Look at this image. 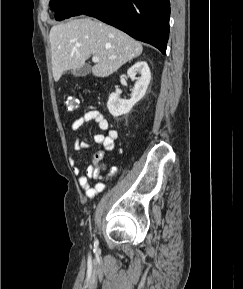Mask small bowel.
<instances>
[{
	"mask_svg": "<svg viewBox=\"0 0 243 289\" xmlns=\"http://www.w3.org/2000/svg\"><path fill=\"white\" fill-rule=\"evenodd\" d=\"M89 122H95L99 129L104 133L95 134L93 137V142L91 144L86 143L80 139H76L74 142V150L82 151L90 146H100L104 150L110 151L114 148L115 141L118 137V133L114 129H109V122L103 115V113L94 106H89L84 109L82 114L76 118L72 124L71 128L73 130L80 129L83 125ZM104 156V151H98L93 157L92 164L86 168L84 174L80 173V168L75 165V160L71 159L70 162L74 167V172L78 176V183L80 187L85 191V195L88 199L93 198L105 189V181L112 178L115 174V169L112 168L104 179L100 175V168L98 166L99 162ZM93 180H98L96 183H92Z\"/></svg>",
	"mask_w": 243,
	"mask_h": 289,
	"instance_id": "small-bowel-1",
	"label": "small bowel"
}]
</instances>
